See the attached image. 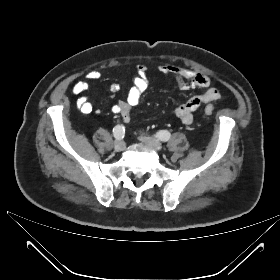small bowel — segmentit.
<instances>
[{
  "label": "small bowel",
  "mask_w": 280,
  "mask_h": 280,
  "mask_svg": "<svg viewBox=\"0 0 280 280\" xmlns=\"http://www.w3.org/2000/svg\"><path fill=\"white\" fill-rule=\"evenodd\" d=\"M148 70L149 66L145 63H140L136 66V71L133 76V85L128 91L126 101L118 102L113 106V112L119 114L124 123L130 122L132 108L139 104L142 94L149 86ZM158 71L162 75L173 76L178 88L181 90L194 88L205 90L199 95L192 96L185 103L174 109V115H176L184 125L189 126L193 123V113L202 105L221 98V92L217 88L210 87L211 79L203 73L172 63L158 65ZM101 77V72L93 69L86 73L87 80H77L74 82L72 92L76 95H80L76 100V106L81 112L89 114L93 111L92 102L87 97L83 96V94L89 89V81H96ZM119 89L120 87L117 83L112 84L109 87L110 96L113 97Z\"/></svg>",
  "instance_id": "obj_1"
}]
</instances>
